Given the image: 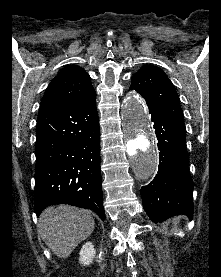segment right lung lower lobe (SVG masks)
Masks as SVG:
<instances>
[{
    "mask_svg": "<svg viewBox=\"0 0 221 277\" xmlns=\"http://www.w3.org/2000/svg\"><path fill=\"white\" fill-rule=\"evenodd\" d=\"M35 154L37 215L49 205L69 204L104 220L96 92L73 103L40 107Z\"/></svg>",
    "mask_w": 221,
    "mask_h": 277,
    "instance_id": "obj_1",
    "label": "right lung lower lobe"
}]
</instances>
